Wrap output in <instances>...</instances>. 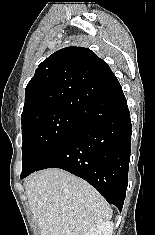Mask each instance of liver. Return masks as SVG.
<instances>
[{"label":"liver","instance_id":"1","mask_svg":"<svg viewBox=\"0 0 155 235\" xmlns=\"http://www.w3.org/2000/svg\"><path fill=\"white\" fill-rule=\"evenodd\" d=\"M25 189L41 235H86L112 217L111 207L90 184L61 169L34 173Z\"/></svg>","mask_w":155,"mask_h":235}]
</instances>
